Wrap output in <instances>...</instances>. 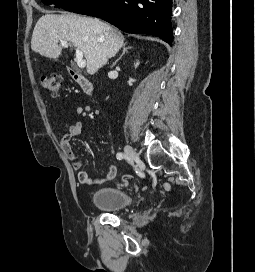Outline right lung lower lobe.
Returning a JSON list of instances; mask_svg holds the SVG:
<instances>
[{"instance_id":"1","label":"right lung lower lobe","mask_w":255,"mask_h":272,"mask_svg":"<svg viewBox=\"0 0 255 272\" xmlns=\"http://www.w3.org/2000/svg\"><path fill=\"white\" fill-rule=\"evenodd\" d=\"M172 0H99L86 15L102 18L128 33L158 36L173 41Z\"/></svg>"}]
</instances>
